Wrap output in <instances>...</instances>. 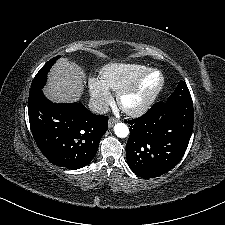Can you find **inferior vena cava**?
I'll return each instance as SVG.
<instances>
[{
	"mask_svg": "<svg viewBox=\"0 0 225 225\" xmlns=\"http://www.w3.org/2000/svg\"><path fill=\"white\" fill-rule=\"evenodd\" d=\"M89 110L95 114H105L108 112L109 107L103 101L91 100L88 104Z\"/></svg>",
	"mask_w": 225,
	"mask_h": 225,
	"instance_id": "inferior-vena-cava-1",
	"label": "inferior vena cava"
}]
</instances>
